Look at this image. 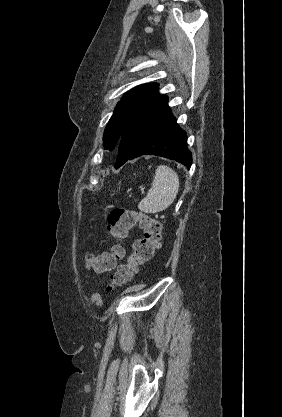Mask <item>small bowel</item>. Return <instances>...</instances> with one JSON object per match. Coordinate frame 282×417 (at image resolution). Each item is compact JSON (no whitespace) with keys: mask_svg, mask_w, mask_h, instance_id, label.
I'll use <instances>...</instances> for the list:
<instances>
[{"mask_svg":"<svg viewBox=\"0 0 282 417\" xmlns=\"http://www.w3.org/2000/svg\"><path fill=\"white\" fill-rule=\"evenodd\" d=\"M120 254L122 256V252ZM89 303L91 306H96V307L101 306L102 304L101 296L98 293L91 294Z\"/></svg>","mask_w":282,"mask_h":417,"instance_id":"c3829d8e","label":"small bowel"}]
</instances>
